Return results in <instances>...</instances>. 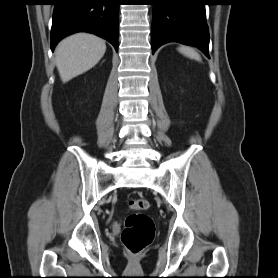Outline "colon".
Returning a JSON list of instances; mask_svg holds the SVG:
<instances>
[{"instance_id":"obj_1","label":"colon","mask_w":278,"mask_h":278,"mask_svg":"<svg viewBox=\"0 0 278 278\" xmlns=\"http://www.w3.org/2000/svg\"><path fill=\"white\" fill-rule=\"evenodd\" d=\"M129 207L138 212L132 213L126 218L121 240L130 254L137 255L152 243L155 236V225L148 215L139 212L149 207L146 199H132Z\"/></svg>"}]
</instances>
